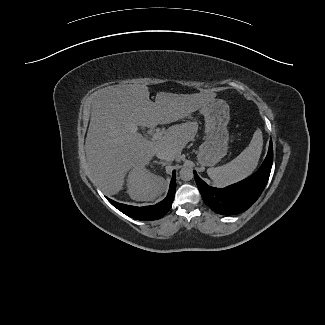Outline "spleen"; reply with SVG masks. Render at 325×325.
<instances>
[{
  "label": "spleen",
  "mask_w": 325,
  "mask_h": 325,
  "mask_svg": "<svg viewBox=\"0 0 325 325\" xmlns=\"http://www.w3.org/2000/svg\"><path fill=\"white\" fill-rule=\"evenodd\" d=\"M263 148L262 131L258 128L249 145L229 163L209 168V177L219 186L236 183L249 175L256 169Z\"/></svg>",
  "instance_id": "1"
}]
</instances>
